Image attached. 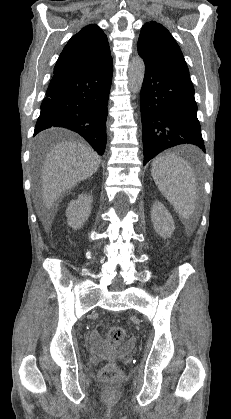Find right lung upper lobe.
I'll use <instances>...</instances> for the list:
<instances>
[{
  "label": "right lung upper lobe",
  "instance_id": "right-lung-upper-lobe-1",
  "mask_svg": "<svg viewBox=\"0 0 231 419\" xmlns=\"http://www.w3.org/2000/svg\"><path fill=\"white\" fill-rule=\"evenodd\" d=\"M112 62L104 32L95 24L82 28L61 52L54 73L93 70Z\"/></svg>",
  "mask_w": 231,
  "mask_h": 419
}]
</instances>
